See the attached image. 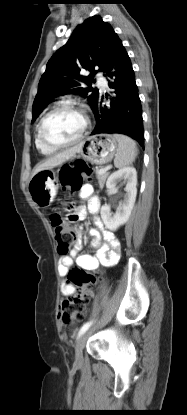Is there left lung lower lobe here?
Here are the masks:
<instances>
[{
	"instance_id": "0a47b994",
	"label": "left lung lower lobe",
	"mask_w": 187,
	"mask_h": 415,
	"mask_svg": "<svg viewBox=\"0 0 187 415\" xmlns=\"http://www.w3.org/2000/svg\"><path fill=\"white\" fill-rule=\"evenodd\" d=\"M107 72L109 87L113 89L110 107L102 105L100 97L93 108L96 126L92 135L119 133L135 139L144 148L142 107L130 58L117 37L111 47ZM108 96V95H106Z\"/></svg>"
}]
</instances>
